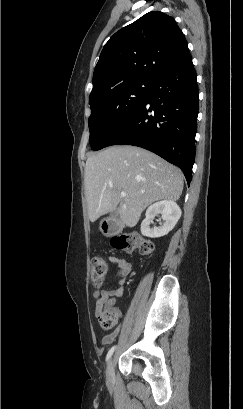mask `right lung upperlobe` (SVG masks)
I'll list each match as a JSON object with an SVG mask.
<instances>
[{"mask_svg": "<svg viewBox=\"0 0 243 409\" xmlns=\"http://www.w3.org/2000/svg\"><path fill=\"white\" fill-rule=\"evenodd\" d=\"M186 50L187 41L174 18L160 11L143 15L105 44L89 103L128 83L153 84Z\"/></svg>", "mask_w": 243, "mask_h": 409, "instance_id": "cb5924a9", "label": "right lung upper lobe"}]
</instances>
